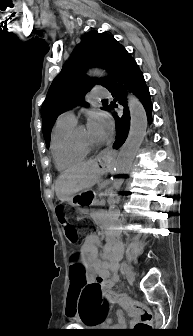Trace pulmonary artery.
I'll use <instances>...</instances> for the list:
<instances>
[{"label":"pulmonary artery","instance_id":"1","mask_svg":"<svg viewBox=\"0 0 193 336\" xmlns=\"http://www.w3.org/2000/svg\"><path fill=\"white\" fill-rule=\"evenodd\" d=\"M109 96H110L109 91L104 87H97L94 89L93 97L102 98V97H109ZM57 123L58 124H75L76 118L71 111H67V112L62 113L59 116Z\"/></svg>","mask_w":193,"mask_h":336}]
</instances>
